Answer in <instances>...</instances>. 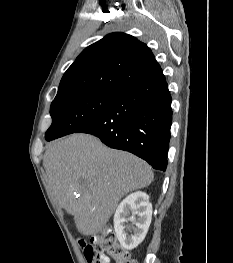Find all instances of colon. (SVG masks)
<instances>
[{"label":"colon","mask_w":233,"mask_h":263,"mask_svg":"<svg viewBox=\"0 0 233 263\" xmlns=\"http://www.w3.org/2000/svg\"><path fill=\"white\" fill-rule=\"evenodd\" d=\"M84 255L88 263H137L132 253L123 248L115 232L106 229L92 237L91 242L84 246Z\"/></svg>","instance_id":"obj_1"}]
</instances>
